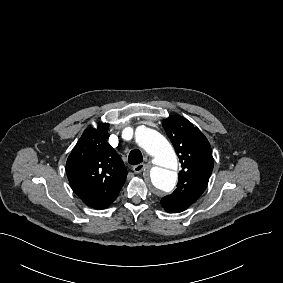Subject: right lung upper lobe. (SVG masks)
<instances>
[{"label":"right lung upper lobe","instance_id":"1","mask_svg":"<svg viewBox=\"0 0 283 283\" xmlns=\"http://www.w3.org/2000/svg\"><path fill=\"white\" fill-rule=\"evenodd\" d=\"M109 124L86 130L66 163V174L76 195L89 207L107 208L118 196L127 171L107 142Z\"/></svg>","mask_w":283,"mask_h":283}]
</instances>
